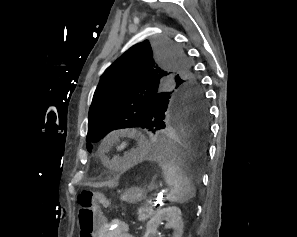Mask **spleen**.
I'll use <instances>...</instances> for the list:
<instances>
[{"instance_id":"3e777b00","label":"spleen","mask_w":297,"mask_h":237,"mask_svg":"<svg viewBox=\"0 0 297 237\" xmlns=\"http://www.w3.org/2000/svg\"><path fill=\"white\" fill-rule=\"evenodd\" d=\"M159 164L162 168L166 184L170 186L167 200L170 202L185 203L195 196L196 190L189 177L172 160L161 159Z\"/></svg>"}]
</instances>
